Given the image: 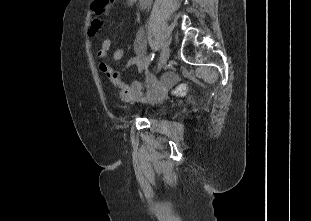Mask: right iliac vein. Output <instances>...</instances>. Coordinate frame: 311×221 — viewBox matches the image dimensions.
<instances>
[{
	"instance_id": "63e3f726",
	"label": "right iliac vein",
	"mask_w": 311,
	"mask_h": 221,
	"mask_svg": "<svg viewBox=\"0 0 311 221\" xmlns=\"http://www.w3.org/2000/svg\"><path fill=\"white\" fill-rule=\"evenodd\" d=\"M169 54H170V51L168 48H164L162 50L160 61H159V66H158V72L166 65V62L169 58Z\"/></svg>"
}]
</instances>
